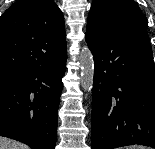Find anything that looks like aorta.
I'll return each instance as SVG.
<instances>
[{
	"instance_id": "obj_1",
	"label": "aorta",
	"mask_w": 155,
	"mask_h": 149,
	"mask_svg": "<svg viewBox=\"0 0 155 149\" xmlns=\"http://www.w3.org/2000/svg\"><path fill=\"white\" fill-rule=\"evenodd\" d=\"M79 62L81 66V85L84 90H90L94 81V60L92 52L85 47L80 55Z\"/></svg>"
}]
</instances>
